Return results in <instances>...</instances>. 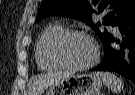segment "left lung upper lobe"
I'll return each instance as SVG.
<instances>
[{"instance_id":"1","label":"left lung upper lobe","mask_w":135,"mask_h":95,"mask_svg":"<svg viewBox=\"0 0 135 95\" xmlns=\"http://www.w3.org/2000/svg\"><path fill=\"white\" fill-rule=\"evenodd\" d=\"M135 13V0H44L38 15L39 22L44 16L54 14L77 18L91 26L101 41L110 33L99 30V26H118ZM104 14V22L94 24L92 16Z\"/></svg>"}]
</instances>
